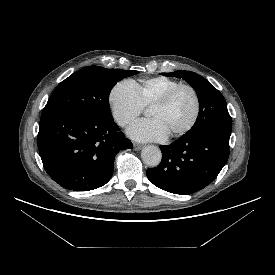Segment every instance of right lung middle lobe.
Masks as SVG:
<instances>
[{
  "instance_id": "dd1d6c3e",
  "label": "right lung middle lobe",
  "mask_w": 275,
  "mask_h": 275,
  "mask_svg": "<svg viewBox=\"0 0 275 275\" xmlns=\"http://www.w3.org/2000/svg\"><path fill=\"white\" fill-rule=\"evenodd\" d=\"M134 70H114L100 66L85 67L63 80L49 98L44 111L78 110L113 120L108 97L114 85Z\"/></svg>"
}]
</instances>
